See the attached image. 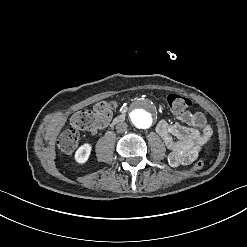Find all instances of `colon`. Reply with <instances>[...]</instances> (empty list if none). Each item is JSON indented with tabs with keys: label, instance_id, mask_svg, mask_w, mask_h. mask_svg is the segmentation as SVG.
Wrapping results in <instances>:
<instances>
[{
	"label": "colon",
	"instance_id": "1",
	"mask_svg": "<svg viewBox=\"0 0 247 247\" xmlns=\"http://www.w3.org/2000/svg\"><path fill=\"white\" fill-rule=\"evenodd\" d=\"M167 102L173 106L175 111L187 109L190 106V101L180 95L170 94L167 97ZM112 109V103L104 100L99 101L94 107H91L89 112L78 111L72 116V123L75 127L66 130L57 139V148L60 153L70 154L74 151L79 140V132L77 128H89L97 124L106 123L108 120V113ZM204 167L203 160H196L192 164L194 171H199Z\"/></svg>",
	"mask_w": 247,
	"mask_h": 247
}]
</instances>
